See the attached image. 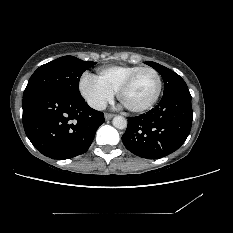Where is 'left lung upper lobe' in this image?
I'll return each instance as SVG.
<instances>
[{
    "label": "left lung upper lobe",
    "instance_id": "1",
    "mask_svg": "<svg viewBox=\"0 0 233 233\" xmlns=\"http://www.w3.org/2000/svg\"><path fill=\"white\" fill-rule=\"evenodd\" d=\"M145 64L159 72L164 81L163 97L178 89L187 87L185 81L174 71L152 61H146Z\"/></svg>",
    "mask_w": 233,
    "mask_h": 233
}]
</instances>
